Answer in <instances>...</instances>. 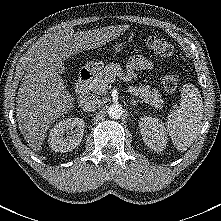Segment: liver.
Segmentation results:
<instances>
[{
	"label": "liver",
	"instance_id": "liver-1",
	"mask_svg": "<svg viewBox=\"0 0 221 221\" xmlns=\"http://www.w3.org/2000/svg\"><path fill=\"white\" fill-rule=\"evenodd\" d=\"M128 26H110L74 32L72 28L45 36L32 49L26 73L16 97L19 129L34 151H40L47 130L60 116L74 107V98L60 74L64 60L82 50L105 45Z\"/></svg>",
	"mask_w": 221,
	"mask_h": 221
}]
</instances>
